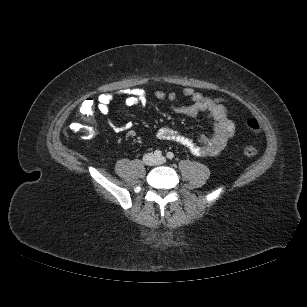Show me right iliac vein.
Wrapping results in <instances>:
<instances>
[{
    "label": "right iliac vein",
    "mask_w": 307,
    "mask_h": 307,
    "mask_svg": "<svg viewBox=\"0 0 307 307\" xmlns=\"http://www.w3.org/2000/svg\"><path fill=\"white\" fill-rule=\"evenodd\" d=\"M144 162L147 165H153L155 163V158L152 154H148V155L145 156Z\"/></svg>",
    "instance_id": "63e3f726"
}]
</instances>
